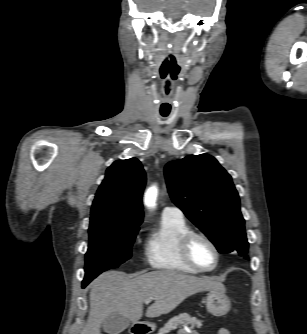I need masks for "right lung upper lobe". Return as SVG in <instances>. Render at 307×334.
<instances>
[{
  "label": "right lung upper lobe",
  "instance_id": "obj_1",
  "mask_svg": "<svg viewBox=\"0 0 307 334\" xmlns=\"http://www.w3.org/2000/svg\"><path fill=\"white\" fill-rule=\"evenodd\" d=\"M146 175L136 158L115 161L106 171L92 204L90 226L141 224Z\"/></svg>",
  "mask_w": 307,
  "mask_h": 334
}]
</instances>
